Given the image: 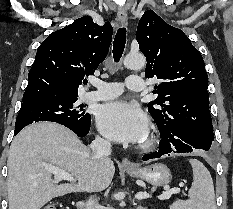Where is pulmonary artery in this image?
I'll list each match as a JSON object with an SVG mask.
<instances>
[{
  "label": "pulmonary artery",
  "instance_id": "1",
  "mask_svg": "<svg viewBox=\"0 0 233 209\" xmlns=\"http://www.w3.org/2000/svg\"><path fill=\"white\" fill-rule=\"evenodd\" d=\"M91 85L96 88L94 91L85 93V100L101 101L112 99L119 96L123 89L120 83L117 82H105L102 80H92ZM127 88L131 91H141L144 88V80L141 76L132 75L126 80Z\"/></svg>",
  "mask_w": 233,
  "mask_h": 209
}]
</instances>
